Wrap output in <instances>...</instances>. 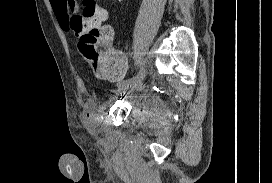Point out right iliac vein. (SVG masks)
I'll list each match as a JSON object with an SVG mask.
<instances>
[{
	"instance_id": "right-iliac-vein-1",
	"label": "right iliac vein",
	"mask_w": 272,
	"mask_h": 183,
	"mask_svg": "<svg viewBox=\"0 0 272 183\" xmlns=\"http://www.w3.org/2000/svg\"><path fill=\"white\" fill-rule=\"evenodd\" d=\"M138 77L134 80V81H123L120 82V84L118 85L117 90L115 91L116 94H121V93H125L127 91L132 92L134 90H136L137 88L140 87L144 77H145V71L143 69H141L140 73H138Z\"/></svg>"
}]
</instances>
